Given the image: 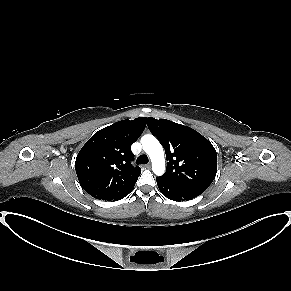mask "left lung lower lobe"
<instances>
[{"label": "left lung lower lobe", "mask_w": 291, "mask_h": 291, "mask_svg": "<svg viewBox=\"0 0 291 291\" xmlns=\"http://www.w3.org/2000/svg\"><path fill=\"white\" fill-rule=\"evenodd\" d=\"M158 188L160 192L168 199L175 200L178 202L184 200H192L193 198L202 194L195 190L187 189L178 185H175L161 177L156 178Z\"/></svg>", "instance_id": "1"}]
</instances>
